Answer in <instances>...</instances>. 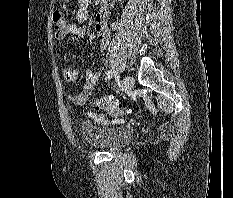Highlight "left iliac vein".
<instances>
[{
  "mask_svg": "<svg viewBox=\"0 0 233 198\" xmlns=\"http://www.w3.org/2000/svg\"><path fill=\"white\" fill-rule=\"evenodd\" d=\"M134 86V79L131 76H125L122 81V90L129 92Z\"/></svg>",
  "mask_w": 233,
  "mask_h": 198,
  "instance_id": "left-iliac-vein-1",
  "label": "left iliac vein"
}]
</instances>
